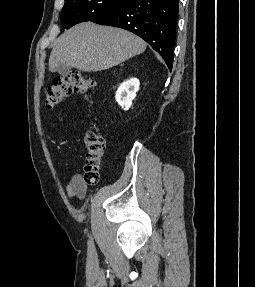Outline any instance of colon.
Here are the masks:
<instances>
[{
  "mask_svg": "<svg viewBox=\"0 0 255 287\" xmlns=\"http://www.w3.org/2000/svg\"><path fill=\"white\" fill-rule=\"evenodd\" d=\"M94 84L92 79L84 77L79 71H71L66 78H57L53 81L46 91L45 105L51 109L73 93L87 95ZM84 140L86 147L84 180L88 184H96L100 178L99 171L105 150V140L92 130L86 132Z\"/></svg>",
  "mask_w": 255,
  "mask_h": 287,
  "instance_id": "obj_1",
  "label": "colon"
}]
</instances>
